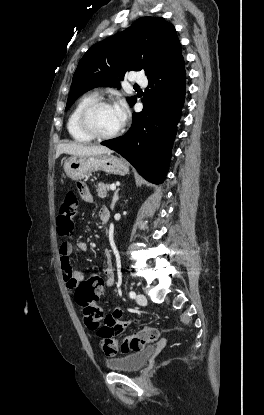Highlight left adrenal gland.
<instances>
[{
	"label": "left adrenal gland",
	"mask_w": 264,
	"mask_h": 415,
	"mask_svg": "<svg viewBox=\"0 0 264 415\" xmlns=\"http://www.w3.org/2000/svg\"><path fill=\"white\" fill-rule=\"evenodd\" d=\"M119 188H117V190L114 192V195H113V198H112V203H111V209L112 210H114V207H115V204H116V202L118 201V199H119V196H118V192H119Z\"/></svg>",
	"instance_id": "1"
}]
</instances>
